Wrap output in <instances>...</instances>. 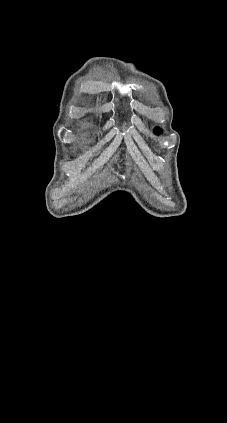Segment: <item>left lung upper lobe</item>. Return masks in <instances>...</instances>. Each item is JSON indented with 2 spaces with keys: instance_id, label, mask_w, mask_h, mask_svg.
Masks as SVG:
<instances>
[{
  "instance_id": "obj_1",
  "label": "left lung upper lobe",
  "mask_w": 227,
  "mask_h": 423,
  "mask_svg": "<svg viewBox=\"0 0 227 423\" xmlns=\"http://www.w3.org/2000/svg\"><path fill=\"white\" fill-rule=\"evenodd\" d=\"M154 132H155L156 134H158V133L160 132V129H159V128H155Z\"/></svg>"
}]
</instances>
